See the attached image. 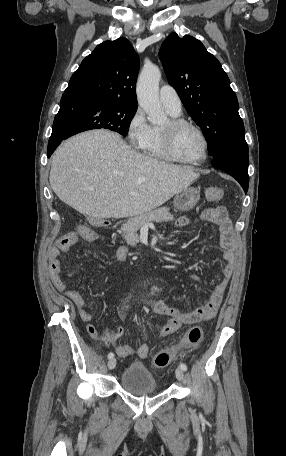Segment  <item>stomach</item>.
<instances>
[{
    "mask_svg": "<svg viewBox=\"0 0 286 456\" xmlns=\"http://www.w3.org/2000/svg\"><path fill=\"white\" fill-rule=\"evenodd\" d=\"M200 199V190L194 187H187L179 192L174 198V208L179 211H189Z\"/></svg>",
    "mask_w": 286,
    "mask_h": 456,
    "instance_id": "1",
    "label": "stomach"
}]
</instances>
